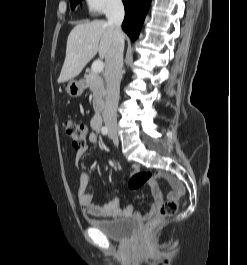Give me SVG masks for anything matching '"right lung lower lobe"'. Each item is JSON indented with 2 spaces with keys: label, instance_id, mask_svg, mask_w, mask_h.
<instances>
[{
  "label": "right lung lower lobe",
  "instance_id": "obj_1",
  "mask_svg": "<svg viewBox=\"0 0 247 265\" xmlns=\"http://www.w3.org/2000/svg\"><path fill=\"white\" fill-rule=\"evenodd\" d=\"M125 7V18L122 23L123 30L134 41L141 30L151 0H122Z\"/></svg>",
  "mask_w": 247,
  "mask_h": 265
}]
</instances>
